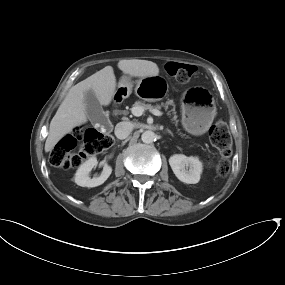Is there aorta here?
I'll list each match as a JSON object with an SVG mask.
<instances>
[{"instance_id":"1","label":"aorta","mask_w":285,"mask_h":285,"mask_svg":"<svg viewBox=\"0 0 285 285\" xmlns=\"http://www.w3.org/2000/svg\"><path fill=\"white\" fill-rule=\"evenodd\" d=\"M141 140L146 144H150L156 140V134L151 130L144 131Z\"/></svg>"}]
</instances>
